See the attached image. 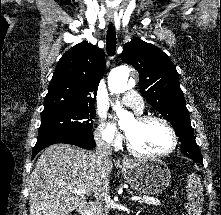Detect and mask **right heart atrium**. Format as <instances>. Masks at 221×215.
<instances>
[{
    "label": "right heart atrium",
    "instance_id": "obj_1",
    "mask_svg": "<svg viewBox=\"0 0 221 215\" xmlns=\"http://www.w3.org/2000/svg\"><path fill=\"white\" fill-rule=\"evenodd\" d=\"M94 136L98 144L108 147H118L122 140L120 135L108 130L103 121L95 130Z\"/></svg>",
    "mask_w": 221,
    "mask_h": 215
}]
</instances>
